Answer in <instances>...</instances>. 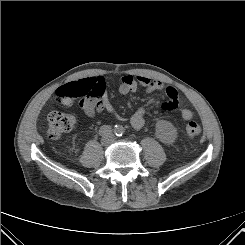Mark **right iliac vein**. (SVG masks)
I'll list each match as a JSON object with an SVG mask.
<instances>
[{
	"label": "right iliac vein",
	"instance_id": "obj_1",
	"mask_svg": "<svg viewBox=\"0 0 245 245\" xmlns=\"http://www.w3.org/2000/svg\"><path fill=\"white\" fill-rule=\"evenodd\" d=\"M111 142V139L109 137H104L101 141V143L104 145V146H107L109 145Z\"/></svg>",
	"mask_w": 245,
	"mask_h": 245
}]
</instances>
